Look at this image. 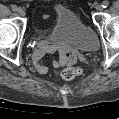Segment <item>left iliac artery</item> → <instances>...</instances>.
Listing matches in <instances>:
<instances>
[{
    "label": "left iliac artery",
    "mask_w": 119,
    "mask_h": 119,
    "mask_svg": "<svg viewBox=\"0 0 119 119\" xmlns=\"http://www.w3.org/2000/svg\"><path fill=\"white\" fill-rule=\"evenodd\" d=\"M108 5H109V2L108 1H103V3H102V7L103 8L108 7Z\"/></svg>",
    "instance_id": "1"
}]
</instances>
